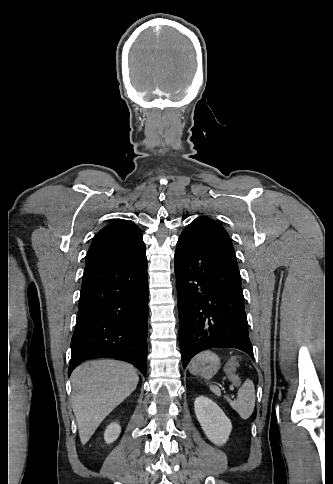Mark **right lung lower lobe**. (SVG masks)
<instances>
[{
	"label": "right lung lower lobe",
	"instance_id": "right-lung-lower-lobe-1",
	"mask_svg": "<svg viewBox=\"0 0 333 484\" xmlns=\"http://www.w3.org/2000/svg\"><path fill=\"white\" fill-rule=\"evenodd\" d=\"M148 276L145 248L87 263L71 341L69 375L81 362L116 358L147 371Z\"/></svg>",
	"mask_w": 333,
	"mask_h": 484
}]
</instances>
